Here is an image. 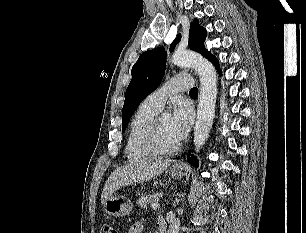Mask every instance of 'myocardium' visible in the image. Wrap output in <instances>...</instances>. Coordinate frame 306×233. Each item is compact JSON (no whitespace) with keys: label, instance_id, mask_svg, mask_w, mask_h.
Here are the masks:
<instances>
[{"label":"myocardium","instance_id":"f54148a6","mask_svg":"<svg viewBox=\"0 0 306 233\" xmlns=\"http://www.w3.org/2000/svg\"><path fill=\"white\" fill-rule=\"evenodd\" d=\"M160 116L156 115L148 124L144 134L145 146L154 154L159 156H167L175 154L180 149V144L177 143L172 148H164L161 146L158 139V122Z\"/></svg>","mask_w":306,"mask_h":233}]
</instances>
